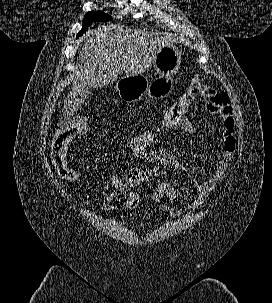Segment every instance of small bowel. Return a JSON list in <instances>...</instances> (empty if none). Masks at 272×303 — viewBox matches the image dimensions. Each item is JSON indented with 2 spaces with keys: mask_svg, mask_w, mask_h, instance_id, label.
<instances>
[{
  "mask_svg": "<svg viewBox=\"0 0 272 303\" xmlns=\"http://www.w3.org/2000/svg\"><path fill=\"white\" fill-rule=\"evenodd\" d=\"M200 95L204 99L206 109L209 113L217 115L222 120V144L223 150L218 162L215 165L213 175L208 180H195L196 196L187 206L185 211L179 210L168 203L163 202L167 197L170 201L178 200V194L174 186L170 183H160L152 193L153 201L159 203L160 209L168 214L178 216L183 213L197 210L224 180L228 164L233 159L236 149L235 139V119L229 96L221 91H217L210 86H203ZM194 129L190 126L183 133L192 134ZM133 155L149 163L161 166L171 165L178 170L188 173V168L180 162L166 147H154L146 149L132 150ZM152 180L149 170L142 167L131 168L123 177H114L113 183L115 191L127 192L130 188L137 187Z\"/></svg>",
  "mask_w": 272,
  "mask_h": 303,
  "instance_id": "c3829d8e",
  "label": "small bowel"
}]
</instances>
